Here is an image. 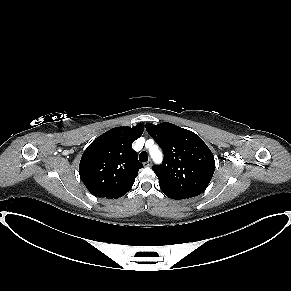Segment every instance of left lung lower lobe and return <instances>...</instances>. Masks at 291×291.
<instances>
[{
	"mask_svg": "<svg viewBox=\"0 0 291 291\" xmlns=\"http://www.w3.org/2000/svg\"><path fill=\"white\" fill-rule=\"evenodd\" d=\"M161 188V187H160ZM161 190L164 192V194L169 197V198H172V199H185V198H188V197H185V196H182V195H179L178 193H175L173 191H170L168 189H164V188H161Z\"/></svg>",
	"mask_w": 291,
	"mask_h": 291,
	"instance_id": "0a47b994",
	"label": "left lung lower lobe"
}]
</instances>
